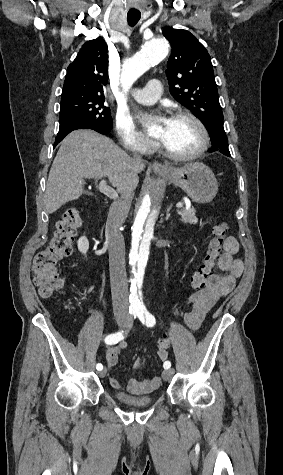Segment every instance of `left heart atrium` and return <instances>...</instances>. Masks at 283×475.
<instances>
[{
  "label": "left heart atrium",
  "mask_w": 283,
  "mask_h": 475,
  "mask_svg": "<svg viewBox=\"0 0 283 475\" xmlns=\"http://www.w3.org/2000/svg\"><path fill=\"white\" fill-rule=\"evenodd\" d=\"M168 121L165 117H160L159 122L161 125L166 126L168 124Z\"/></svg>",
  "instance_id": "obj_1"
}]
</instances>
